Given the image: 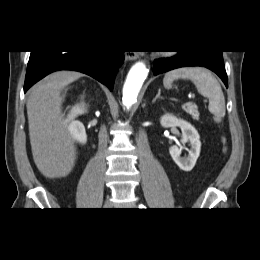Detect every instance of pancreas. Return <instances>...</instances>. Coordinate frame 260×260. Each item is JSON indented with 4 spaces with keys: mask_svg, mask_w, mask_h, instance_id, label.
Segmentation results:
<instances>
[{
    "mask_svg": "<svg viewBox=\"0 0 260 260\" xmlns=\"http://www.w3.org/2000/svg\"><path fill=\"white\" fill-rule=\"evenodd\" d=\"M183 110L186 113L190 114L194 120H199V112L196 105L194 104L185 105L183 106Z\"/></svg>",
    "mask_w": 260,
    "mask_h": 260,
    "instance_id": "obj_1",
    "label": "pancreas"
}]
</instances>
